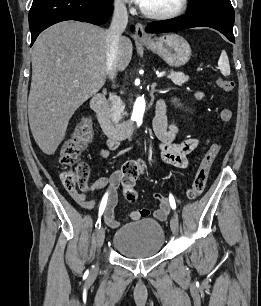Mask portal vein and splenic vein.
<instances>
[{"label":"portal vein and splenic vein","instance_id":"18ae733b","mask_svg":"<svg viewBox=\"0 0 261 306\" xmlns=\"http://www.w3.org/2000/svg\"><path fill=\"white\" fill-rule=\"evenodd\" d=\"M165 75V72H160L157 74V77H163Z\"/></svg>","mask_w":261,"mask_h":306}]
</instances>
